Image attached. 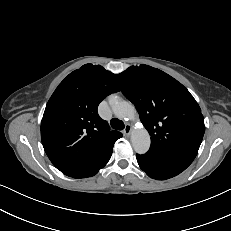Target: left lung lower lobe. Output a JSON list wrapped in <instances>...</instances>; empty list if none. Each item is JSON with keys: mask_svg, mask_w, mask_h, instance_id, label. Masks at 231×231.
<instances>
[{"mask_svg": "<svg viewBox=\"0 0 231 231\" xmlns=\"http://www.w3.org/2000/svg\"><path fill=\"white\" fill-rule=\"evenodd\" d=\"M140 168L146 174L157 180H166L172 178L184 171L191 163L172 158L159 157L146 153L144 155H136Z\"/></svg>", "mask_w": 231, "mask_h": 231, "instance_id": "0a47b994", "label": "left lung lower lobe"}]
</instances>
